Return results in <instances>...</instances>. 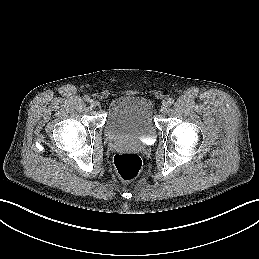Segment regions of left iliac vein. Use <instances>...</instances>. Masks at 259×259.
<instances>
[{"instance_id":"1","label":"left iliac vein","mask_w":259,"mask_h":259,"mask_svg":"<svg viewBox=\"0 0 259 259\" xmlns=\"http://www.w3.org/2000/svg\"><path fill=\"white\" fill-rule=\"evenodd\" d=\"M168 110V104L167 103H164L162 106H161V112L162 113H166Z\"/></svg>"}]
</instances>
